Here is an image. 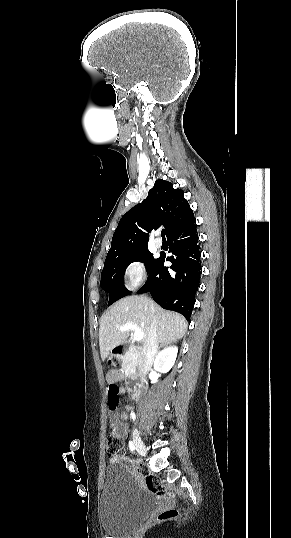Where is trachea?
I'll use <instances>...</instances> for the list:
<instances>
[{"label": "trachea", "mask_w": 291, "mask_h": 538, "mask_svg": "<svg viewBox=\"0 0 291 538\" xmlns=\"http://www.w3.org/2000/svg\"><path fill=\"white\" fill-rule=\"evenodd\" d=\"M165 233H166L165 230L161 231V236H162L163 239H165Z\"/></svg>", "instance_id": "3493384b"}]
</instances>
